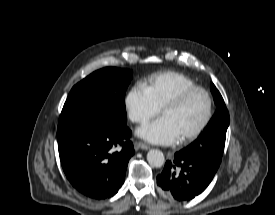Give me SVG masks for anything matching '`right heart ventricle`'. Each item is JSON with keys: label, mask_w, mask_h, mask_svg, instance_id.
<instances>
[{"label": "right heart ventricle", "mask_w": 275, "mask_h": 215, "mask_svg": "<svg viewBox=\"0 0 275 215\" xmlns=\"http://www.w3.org/2000/svg\"><path fill=\"white\" fill-rule=\"evenodd\" d=\"M196 86L187 75L176 71H165L151 75L145 87L159 108L180 91Z\"/></svg>", "instance_id": "e07e8e85"}]
</instances>
